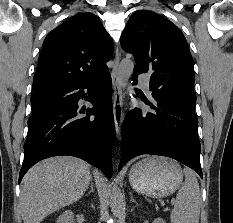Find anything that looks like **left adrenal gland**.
<instances>
[{
    "label": "left adrenal gland",
    "mask_w": 233,
    "mask_h": 223,
    "mask_svg": "<svg viewBox=\"0 0 233 223\" xmlns=\"http://www.w3.org/2000/svg\"><path fill=\"white\" fill-rule=\"evenodd\" d=\"M130 195H131L130 201H134V203H136V205H140V203H137L136 199H134L132 193H130Z\"/></svg>",
    "instance_id": "a2214340"
}]
</instances>
